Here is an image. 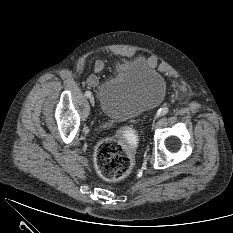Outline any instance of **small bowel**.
Masks as SVG:
<instances>
[{
    "label": "small bowel",
    "mask_w": 233,
    "mask_h": 233,
    "mask_svg": "<svg viewBox=\"0 0 233 233\" xmlns=\"http://www.w3.org/2000/svg\"><path fill=\"white\" fill-rule=\"evenodd\" d=\"M95 72L100 73L104 69V64L102 61L98 60L94 66ZM98 82V77L96 75H91L87 79V84L94 87Z\"/></svg>",
    "instance_id": "small-bowel-1"
}]
</instances>
